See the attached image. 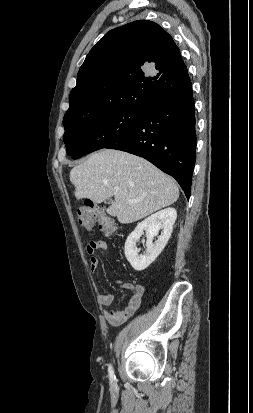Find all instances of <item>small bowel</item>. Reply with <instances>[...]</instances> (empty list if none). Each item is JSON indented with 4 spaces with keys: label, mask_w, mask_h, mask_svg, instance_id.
I'll list each match as a JSON object with an SVG mask.
<instances>
[{
    "label": "small bowel",
    "mask_w": 253,
    "mask_h": 413,
    "mask_svg": "<svg viewBox=\"0 0 253 413\" xmlns=\"http://www.w3.org/2000/svg\"><path fill=\"white\" fill-rule=\"evenodd\" d=\"M108 246L104 241H91L87 246V252L90 257V268L95 272L99 266V258L95 256L98 250H107ZM122 288L130 292V299L127 306L122 310L112 308L113 295L110 293L101 292L98 295L99 302L108 310L104 312L106 320L113 326H118L130 318L140 307L145 288L141 284H132L130 282L118 280Z\"/></svg>",
    "instance_id": "obj_1"
}]
</instances>
